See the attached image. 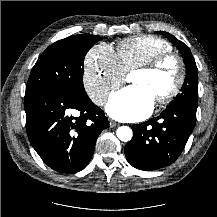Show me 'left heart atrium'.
I'll use <instances>...</instances> for the list:
<instances>
[{
  "mask_svg": "<svg viewBox=\"0 0 217 217\" xmlns=\"http://www.w3.org/2000/svg\"><path fill=\"white\" fill-rule=\"evenodd\" d=\"M154 101L143 87L131 85L113 94L106 109L117 120L137 121L150 114Z\"/></svg>",
  "mask_w": 217,
  "mask_h": 217,
  "instance_id": "39dd6f15",
  "label": "left heart atrium"
}]
</instances>
